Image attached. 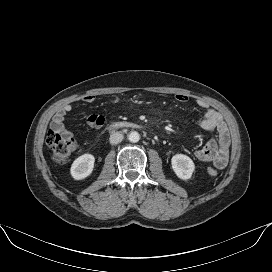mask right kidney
<instances>
[{
	"mask_svg": "<svg viewBox=\"0 0 272 272\" xmlns=\"http://www.w3.org/2000/svg\"><path fill=\"white\" fill-rule=\"evenodd\" d=\"M95 158L92 154H83L74 160L70 173L75 180L88 177L94 168Z\"/></svg>",
	"mask_w": 272,
	"mask_h": 272,
	"instance_id": "obj_1",
	"label": "right kidney"
}]
</instances>
